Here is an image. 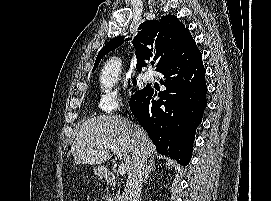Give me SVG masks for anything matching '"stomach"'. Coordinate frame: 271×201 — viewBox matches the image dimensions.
Returning a JSON list of instances; mask_svg holds the SVG:
<instances>
[{"label": "stomach", "instance_id": "stomach-1", "mask_svg": "<svg viewBox=\"0 0 271 201\" xmlns=\"http://www.w3.org/2000/svg\"><path fill=\"white\" fill-rule=\"evenodd\" d=\"M94 173L98 176H102L104 173V168L102 166L95 167Z\"/></svg>", "mask_w": 271, "mask_h": 201}]
</instances>
